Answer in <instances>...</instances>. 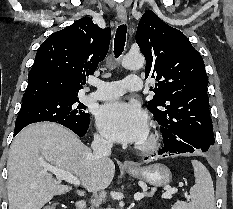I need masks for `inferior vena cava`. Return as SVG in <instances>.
<instances>
[{
	"label": "inferior vena cava",
	"mask_w": 233,
	"mask_h": 209,
	"mask_svg": "<svg viewBox=\"0 0 233 209\" xmlns=\"http://www.w3.org/2000/svg\"><path fill=\"white\" fill-rule=\"evenodd\" d=\"M91 148L97 157L108 159L111 154L112 142L100 136H95Z\"/></svg>",
	"instance_id": "inferior-vena-cava-1"
}]
</instances>
